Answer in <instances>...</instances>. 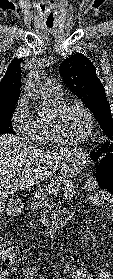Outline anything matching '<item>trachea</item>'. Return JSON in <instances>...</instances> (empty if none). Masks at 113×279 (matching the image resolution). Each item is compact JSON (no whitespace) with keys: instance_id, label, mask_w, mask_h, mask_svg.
I'll use <instances>...</instances> for the list:
<instances>
[{"instance_id":"obj_1","label":"trachea","mask_w":113,"mask_h":279,"mask_svg":"<svg viewBox=\"0 0 113 279\" xmlns=\"http://www.w3.org/2000/svg\"><path fill=\"white\" fill-rule=\"evenodd\" d=\"M48 27H49V28H52V26H51V25H48Z\"/></svg>"}]
</instances>
